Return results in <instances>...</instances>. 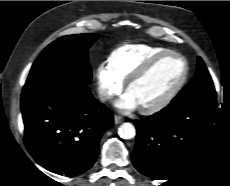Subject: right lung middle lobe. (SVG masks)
<instances>
[{"mask_svg": "<svg viewBox=\"0 0 230 186\" xmlns=\"http://www.w3.org/2000/svg\"><path fill=\"white\" fill-rule=\"evenodd\" d=\"M97 34H78L61 37L48 45L34 62L27 80L64 71L91 80L88 49Z\"/></svg>", "mask_w": 230, "mask_h": 186, "instance_id": "1", "label": "right lung middle lobe"}]
</instances>
